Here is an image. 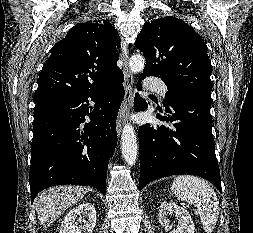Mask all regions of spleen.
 <instances>
[{"mask_svg": "<svg viewBox=\"0 0 253 233\" xmlns=\"http://www.w3.org/2000/svg\"><path fill=\"white\" fill-rule=\"evenodd\" d=\"M171 191L179 200L196 206L203 229L212 233L220 210L213 188L196 176L182 175L174 179Z\"/></svg>", "mask_w": 253, "mask_h": 233, "instance_id": "1", "label": "spleen"}]
</instances>
